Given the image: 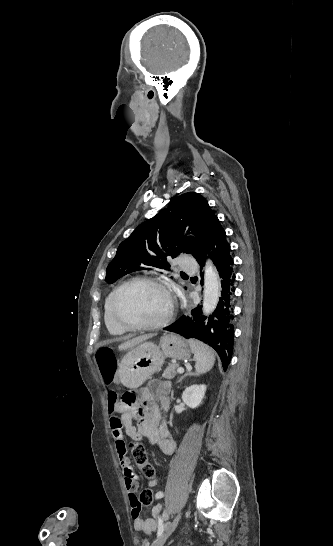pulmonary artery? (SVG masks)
I'll return each mask as SVG.
<instances>
[{"label":"pulmonary artery","mask_w":333,"mask_h":546,"mask_svg":"<svg viewBox=\"0 0 333 546\" xmlns=\"http://www.w3.org/2000/svg\"><path fill=\"white\" fill-rule=\"evenodd\" d=\"M179 264L181 269L185 271H190L194 268L195 262L192 258L188 256H183L180 258Z\"/></svg>","instance_id":"e3ab8cb5"}]
</instances>
